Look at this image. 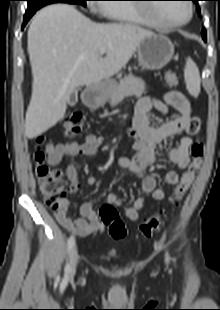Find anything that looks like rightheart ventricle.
Returning a JSON list of instances; mask_svg holds the SVG:
<instances>
[{"label":"right heart ventricle","instance_id":"e07e8e85","mask_svg":"<svg viewBox=\"0 0 220 310\" xmlns=\"http://www.w3.org/2000/svg\"><path fill=\"white\" fill-rule=\"evenodd\" d=\"M100 10L109 18L117 22L138 24L149 27H161L154 21L152 17L143 13L141 9L134 6L109 4L102 6Z\"/></svg>","mask_w":220,"mask_h":310}]
</instances>
